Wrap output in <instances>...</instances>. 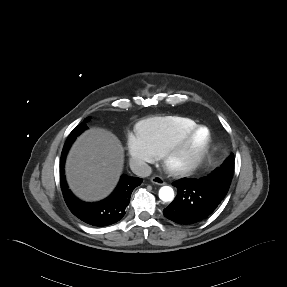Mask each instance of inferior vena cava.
I'll return each mask as SVG.
<instances>
[{"label":"inferior vena cava","instance_id":"602c4592","mask_svg":"<svg viewBox=\"0 0 287 287\" xmlns=\"http://www.w3.org/2000/svg\"><path fill=\"white\" fill-rule=\"evenodd\" d=\"M130 168L134 174L139 177H147L152 173L151 167L144 161L132 159L130 161Z\"/></svg>","mask_w":287,"mask_h":287}]
</instances>
